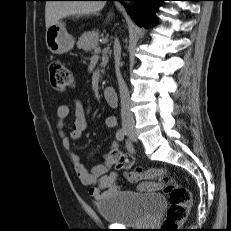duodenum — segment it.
Segmentation results:
<instances>
[{"label": "duodenum", "instance_id": "duodenum-1", "mask_svg": "<svg viewBox=\"0 0 231 231\" xmlns=\"http://www.w3.org/2000/svg\"><path fill=\"white\" fill-rule=\"evenodd\" d=\"M103 94H104V97H105L107 103L111 107H117L118 106V96H117V92L114 88H111V87L105 88L103 91Z\"/></svg>", "mask_w": 231, "mask_h": 231}]
</instances>
